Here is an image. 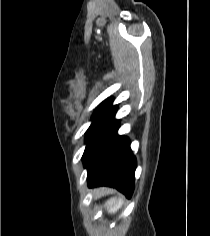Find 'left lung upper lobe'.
<instances>
[{"instance_id":"obj_1","label":"left lung upper lobe","mask_w":210,"mask_h":236,"mask_svg":"<svg viewBox=\"0 0 210 236\" xmlns=\"http://www.w3.org/2000/svg\"><path fill=\"white\" fill-rule=\"evenodd\" d=\"M111 104H112V99H107L103 103H101L94 112L92 119L98 117L101 113H103L106 109H108L111 106Z\"/></svg>"}]
</instances>
